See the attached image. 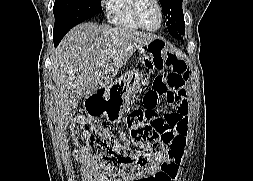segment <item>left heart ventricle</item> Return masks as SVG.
Here are the masks:
<instances>
[{
    "mask_svg": "<svg viewBox=\"0 0 253 181\" xmlns=\"http://www.w3.org/2000/svg\"><path fill=\"white\" fill-rule=\"evenodd\" d=\"M143 23L149 28H156L160 22V14L157 6L152 0H144L141 10Z\"/></svg>",
    "mask_w": 253,
    "mask_h": 181,
    "instance_id": "left-heart-ventricle-1",
    "label": "left heart ventricle"
}]
</instances>
